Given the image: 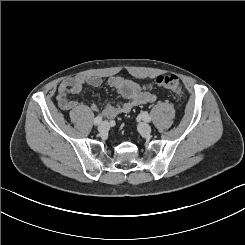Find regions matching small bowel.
Segmentation results:
<instances>
[{"instance_id":"small-bowel-1","label":"small bowel","mask_w":245,"mask_h":245,"mask_svg":"<svg viewBox=\"0 0 245 245\" xmlns=\"http://www.w3.org/2000/svg\"><path fill=\"white\" fill-rule=\"evenodd\" d=\"M108 85L119 95L126 99L125 102L110 104L102 107L98 105H85L70 98L71 95H78L85 85L99 87L103 80L99 76H76L63 80L58 87L57 102L59 107L69 113L71 121L79 127L84 126L92 111H98L107 118H114L120 114L129 113L134 107L150 104L156 100V95L151 91V84L141 85L140 83L125 79L120 76H112Z\"/></svg>"}]
</instances>
